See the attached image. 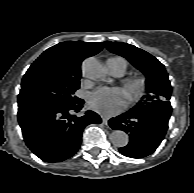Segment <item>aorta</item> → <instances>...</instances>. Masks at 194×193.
Listing matches in <instances>:
<instances>
[{
  "mask_svg": "<svg viewBox=\"0 0 194 193\" xmlns=\"http://www.w3.org/2000/svg\"><path fill=\"white\" fill-rule=\"evenodd\" d=\"M82 72L85 77L92 80H104L107 76L106 68L94 57L83 61ZM110 141L116 147H125L129 142V137L124 131L116 130L111 133Z\"/></svg>",
  "mask_w": 194,
  "mask_h": 193,
  "instance_id": "762f6f07",
  "label": "aorta"
}]
</instances>
